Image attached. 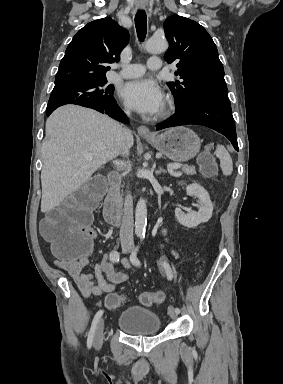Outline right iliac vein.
Returning <instances> with one entry per match:
<instances>
[{
  "instance_id": "63e3f726",
  "label": "right iliac vein",
  "mask_w": 283,
  "mask_h": 384,
  "mask_svg": "<svg viewBox=\"0 0 283 384\" xmlns=\"http://www.w3.org/2000/svg\"><path fill=\"white\" fill-rule=\"evenodd\" d=\"M130 248L125 246L123 247V253H129ZM105 320L101 319L98 323L94 334V347L96 350H99L103 344V332H104Z\"/></svg>"
}]
</instances>
